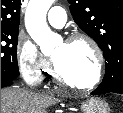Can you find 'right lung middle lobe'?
Instances as JSON below:
<instances>
[{
    "label": "right lung middle lobe",
    "instance_id": "right-lung-middle-lobe-1",
    "mask_svg": "<svg viewBox=\"0 0 123 113\" xmlns=\"http://www.w3.org/2000/svg\"><path fill=\"white\" fill-rule=\"evenodd\" d=\"M18 29L1 30V80H14L19 75L17 64Z\"/></svg>",
    "mask_w": 123,
    "mask_h": 113
}]
</instances>
